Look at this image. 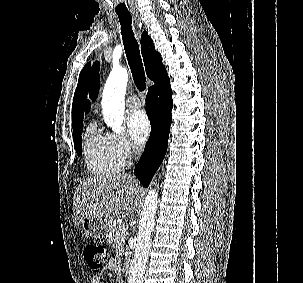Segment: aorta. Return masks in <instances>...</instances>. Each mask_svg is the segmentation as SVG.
<instances>
[{"label": "aorta", "mask_w": 303, "mask_h": 283, "mask_svg": "<svg viewBox=\"0 0 303 283\" xmlns=\"http://www.w3.org/2000/svg\"><path fill=\"white\" fill-rule=\"evenodd\" d=\"M128 82L127 69L114 67L106 81L102 96L105 123L115 133L122 132L125 93ZM158 207V191L150 187L144 201L138 226L137 245L130 262L128 283H143L145 265L149 257L150 240Z\"/></svg>", "instance_id": "aorta-1"}]
</instances>
